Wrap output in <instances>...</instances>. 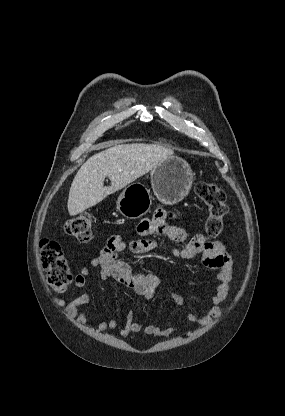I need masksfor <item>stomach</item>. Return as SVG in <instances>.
I'll return each instance as SVG.
<instances>
[{"mask_svg": "<svg viewBox=\"0 0 285 416\" xmlns=\"http://www.w3.org/2000/svg\"><path fill=\"white\" fill-rule=\"evenodd\" d=\"M150 180L157 200L165 206H174L188 196L194 178L189 164L183 158L169 156L153 168ZM116 204L118 212L125 218H142L152 206L150 190L138 182L129 184Z\"/></svg>", "mask_w": 285, "mask_h": 416, "instance_id": "obj_1", "label": "stomach"}]
</instances>
